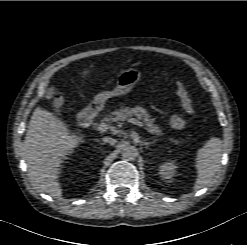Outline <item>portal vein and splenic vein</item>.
I'll return each instance as SVG.
<instances>
[{"mask_svg":"<svg viewBox=\"0 0 247 245\" xmlns=\"http://www.w3.org/2000/svg\"><path fill=\"white\" fill-rule=\"evenodd\" d=\"M128 122H130V123H132V124H135V125H137V126H139V127H144V125H143L142 122H140V121H138V120H136V119H133V118L128 119ZM108 128H109V125H108V124H106V123H101V124L98 125L97 130H98L99 132H105V131H107Z\"/></svg>","mask_w":247,"mask_h":245,"instance_id":"obj_1","label":"portal vein and splenic vein"}]
</instances>
